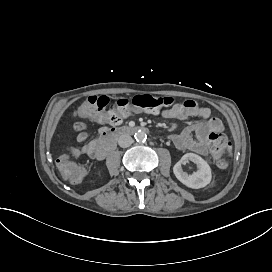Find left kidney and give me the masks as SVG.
Wrapping results in <instances>:
<instances>
[{
  "instance_id": "obj_1",
  "label": "left kidney",
  "mask_w": 272,
  "mask_h": 272,
  "mask_svg": "<svg viewBox=\"0 0 272 272\" xmlns=\"http://www.w3.org/2000/svg\"><path fill=\"white\" fill-rule=\"evenodd\" d=\"M187 161H192L198 168L196 172H193L190 175L184 172L181 166L183 162ZM173 172L181 183L193 189L205 187L210 183L212 178L211 168L208 163L199 155L194 153H186L183 155L182 158L174 165Z\"/></svg>"
}]
</instances>
